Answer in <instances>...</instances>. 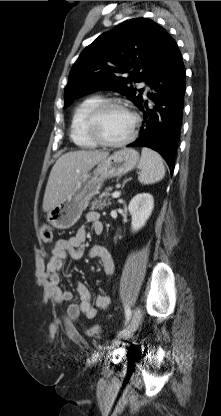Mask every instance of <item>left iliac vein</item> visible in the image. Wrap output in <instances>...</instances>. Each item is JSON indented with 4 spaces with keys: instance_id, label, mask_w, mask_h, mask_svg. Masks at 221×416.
<instances>
[{
    "instance_id": "left-iliac-vein-1",
    "label": "left iliac vein",
    "mask_w": 221,
    "mask_h": 416,
    "mask_svg": "<svg viewBox=\"0 0 221 416\" xmlns=\"http://www.w3.org/2000/svg\"><path fill=\"white\" fill-rule=\"evenodd\" d=\"M141 318H142V311L139 307H137L133 311V315H132V318H131L129 324L118 333L117 338H115L112 341V345L113 346L117 345L119 343V340L127 339L131 335H133L134 332L137 330L139 324H140Z\"/></svg>"
}]
</instances>
